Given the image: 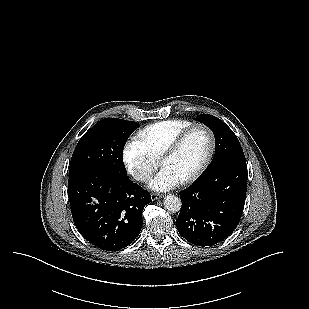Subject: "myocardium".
Listing matches in <instances>:
<instances>
[{"label": "myocardium", "mask_w": 309, "mask_h": 309, "mask_svg": "<svg viewBox=\"0 0 309 309\" xmlns=\"http://www.w3.org/2000/svg\"><path fill=\"white\" fill-rule=\"evenodd\" d=\"M196 128H202L207 132L208 137H209V142H210L209 150H208V153L206 155V158L204 159V161L202 162L200 167L194 173H192L190 176L181 180V182H180L181 184H189V183L194 182L205 172V170L210 165L212 158H213V155H214V152H215V148H216L215 135H214L213 131L211 130V128L208 127L207 125L203 124V123H193V124H191L190 126L186 127L184 130H182L171 141V143L167 146V148L165 149V151L163 152V154L160 157L159 163L162 166L163 162L166 159L170 158L171 156H173L177 152V150L180 148L181 144L183 143L185 138L188 136V134Z\"/></svg>", "instance_id": "myocardium-1"}]
</instances>
